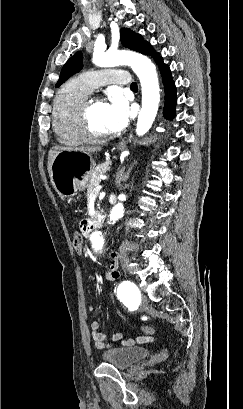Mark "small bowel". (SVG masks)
<instances>
[{"instance_id": "small-bowel-1", "label": "small bowel", "mask_w": 243, "mask_h": 409, "mask_svg": "<svg viewBox=\"0 0 243 409\" xmlns=\"http://www.w3.org/2000/svg\"><path fill=\"white\" fill-rule=\"evenodd\" d=\"M120 276L118 272V261L114 255L111 256L110 265L107 269V279L108 281H114L118 279ZM96 309L95 306L91 305L88 307L89 312H94ZM91 331H92V338L95 343V346L99 349H104L106 347H110L113 343L121 341V343L125 346H134L137 344H147L152 342L153 337L152 334L150 335H143L137 336L136 338H129L126 340H122L123 334L116 333L111 338V343H107V336L100 331V324L97 320H93L91 323Z\"/></svg>"}]
</instances>
